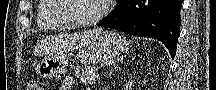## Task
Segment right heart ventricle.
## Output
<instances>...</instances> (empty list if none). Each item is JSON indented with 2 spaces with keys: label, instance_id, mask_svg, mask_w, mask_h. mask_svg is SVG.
Masks as SVG:
<instances>
[{
  "label": "right heart ventricle",
  "instance_id": "right-heart-ventricle-1",
  "mask_svg": "<svg viewBox=\"0 0 216 90\" xmlns=\"http://www.w3.org/2000/svg\"><path fill=\"white\" fill-rule=\"evenodd\" d=\"M41 2V6H36V10H39L37 17V26L39 29H67L64 20H59V17H44V16H61V14H52V10H56V7H62L58 0H38Z\"/></svg>",
  "mask_w": 216,
  "mask_h": 90
}]
</instances>
